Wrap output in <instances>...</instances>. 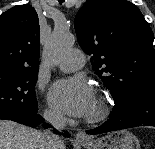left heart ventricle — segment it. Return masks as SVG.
<instances>
[{
  "label": "left heart ventricle",
  "instance_id": "left-heart-ventricle-1",
  "mask_svg": "<svg viewBox=\"0 0 155 149\" xmlns=\"http://www.w3.org/2000/svg\"><path fill=\"white\" fill-rule=\"evenodd\" d=\"M95 109H96V100H95V98H94L92 107H91V109H90V111H89V113H88L87 115L93 113V112L95 111Z\"/></svg>",
  "mask_w": 155,
  "mask_h": 149
}]
</instances>
